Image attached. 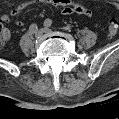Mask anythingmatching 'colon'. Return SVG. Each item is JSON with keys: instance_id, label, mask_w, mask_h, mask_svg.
<instances>
[{"instance_id": "5ec220e1", "label": "colon", "mask_w": 119, "mask_h": 119, "mask_svg": "<svg viewBox=\"0 0 119 119\" xmlns=\"http://www.w3.org/2000/svg\"><path fill=\"white\" fill-rule=\"evenodd\" d=\"M118 32V23L116 20H111L108 25V35L109 37H114ZM3 30L0 26V42L2 41L3 38Z\"/></svg>"}]
</instances>
